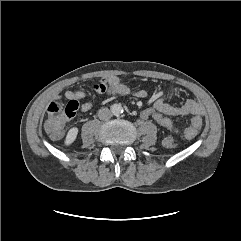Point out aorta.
Listing matches in <instances>:
<instances>
[{"instance_id": "762f6f07", "label": "aorta", "mask_w": 241, "mask_h": 241, "mask_svg": "<svg viewBox=\"0 0 241 241\" xmlns=\"http://www.w3.org/2000/svg\"><path fill=\"white\" fill-rule=\"evenodd\" d=\"M111 110H112V113L116 116L120 115L123 112V108L120 104H114Z\"/></svg>"}]
</instances>
